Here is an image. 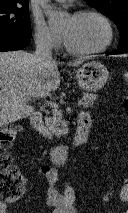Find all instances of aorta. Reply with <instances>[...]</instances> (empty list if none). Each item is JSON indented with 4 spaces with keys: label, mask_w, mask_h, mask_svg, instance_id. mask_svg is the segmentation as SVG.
Instances as JSON below:
<instances>
[{
    "label": "aorta",
    "mask_w": 128,
    "mask_h": 213,
    "mask_svg": "<svg viewBox=\"0 0 128 213\" xmlns=\"http://www.w3.org/2000/svg\"><path fill=\"white\" fill-rule=\"evenodd\" d=\"M39 1L51 24L56 25L62 22L65 16L63 12L54 10L50 5H48V0H39Z\"/></svg>",
    "instance_id": "aorta-1"
}]
</instances>
